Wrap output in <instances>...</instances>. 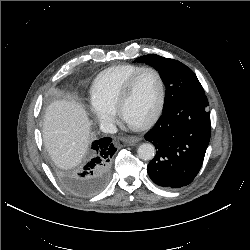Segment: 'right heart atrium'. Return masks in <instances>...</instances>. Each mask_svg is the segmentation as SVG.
I'll return each instance as SVG.
<instances>
[{"instance_id": "1", "label": "right heart atrium", "mask_w": 250, "mask_h": 250, "mask_svg": "<svg viewBox=\"0 0 250 250\" xmlns=\"http://www.w3.org/2000/svg\"><path fill=\"white\" fill-rule=\"evenodd\" d=\"M90 112L93 114L94 119L104 125L109 126L113 120V112L112 110L106 109L97 103L91 101L90 103Z\"/></svg>"}]
</instances>
